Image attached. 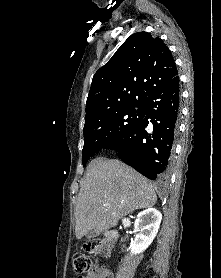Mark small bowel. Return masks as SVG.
Masks as SVG:
<instances>
[{
  "instance_id": "1",
  "label": "small bowel",
  "mask_w": 221,
  "mask_h": 278,
  "mask_svg": "<svg viewBox=\"0 0 221 278\" xmlns=\"http://www.w3.org/2000/svg\"><path fill=\"white\" fill-rule=\"evenodd\" d=\"M84 278H113V273L106 268H95L92 275L86 276Z\"/></svg>"
}]
</instances>
